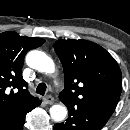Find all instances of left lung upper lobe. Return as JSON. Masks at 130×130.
Returning a JSON list of instances; mask_svg holds the SVG:
<instances>
[{"label": "left lung upper lobe", "mask_w": 130, "mask_h": 130, "mask_svg": "<svg viewBox=\"0 0 130 130\" xmlns=\"http://www.w3.org/2000/svg\"><path fill=\"white\" fill-rule=\"evenodd\" d=\"M54 50L65 77L60 100L93 105L112 115L122 88V74L115 59L87 40H58Z\"/></svg>", "instance_id": "left-lung-upper-lobe-1"}]
</instances>
